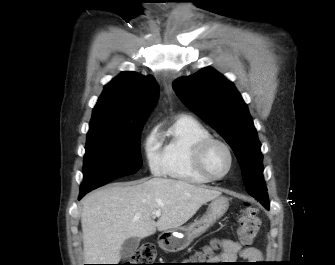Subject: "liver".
Returning <instances> with one entry per match:
<instances>
[{
	"label": "liver",
	"instance_id": "1",
	"mask_svg": "<svg viewBox=\"0 0 335 265\" xmlns=\"http://www.w3.org/2000/svg\"><path fill=\"white\" fill-rule=\"evenodd\" d=\"M220 194L219 190L163 178L96 190L84 199L81 210L84 261L118 264L125 240L178 229ZM158 210L161 215L156 222L153 212Z\"/></svg>",
	"mask_w": 335,
	"mask_h": 265
}]
</instances>
